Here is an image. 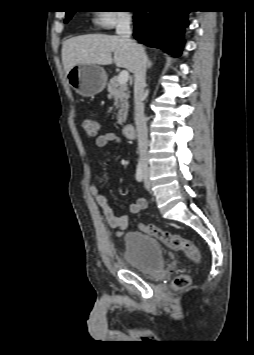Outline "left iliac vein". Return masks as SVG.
Wrapping results in <instances>:
<instances>
[{"label":"left iliac vein","instance_id":"4c4485c4","mask_svg":"<svg viewBox=\"0 0 254 355\" xmlns=\"http://www.w3.org/2000/svg\"><path fill=\"white\" fill-rule=\"evenodd\" d=\"M144 186L147 189L150 188L149 169L147 167L144 168Z\"/></svg>","mask_w":254,"mask_h":355}]
</instances>
